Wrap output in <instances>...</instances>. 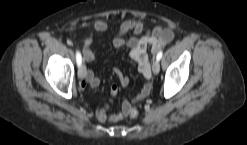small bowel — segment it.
Masks as SVG:
<instances>
[{"label":"small bowel","instance_id":"obj_1","mask_svg":"<svg viewBox=\"0 0 247 145\" xmlns=\"http://www.w3.org/2000/svg\"><path fill=\"white\" fill-rule=\"evenodd\" d=\"M94 30L96 32H106L109 30V25L103 20H97L94 23ZM132 32L133 36L127 37V34ZM174 38V32L171 28H166L163 25H157L152 30H145L144 25L140 20L127 19L121 23L117 33L113 37L112 44L115 48L126 47L129 49V56L137 66L138 71L142 76L148 80L143 88L136 96L135 100L141 101L145 99L152 88L151 79V65L148 55V48H151L153 53H157L166 44L170 43ZM92 37L86 38L82 49L83 57L86 62H91L95 58V53L92 48ZM112 73L115 74L120 84L123 87L129 85L128 76L124 75L119 69L113 68ZM101 82V78L95 75L91 70L86 71L84 80L80 83L81 91L86 89L87 85L97 87ZM118 93V87L112 85L110 87V98L108 102L101 108L96 109V118L101 122H117L123 119L126 115V110L129 108L131 102L125 100L122 103L121 111L115 114H108V109L113 103Z\"/></svg>","mask_w":247,"mask_h":145}]
</instances>
